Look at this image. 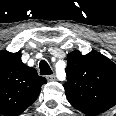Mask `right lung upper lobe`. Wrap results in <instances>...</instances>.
I'll use <instances>...</instances> for the list:
<instances>
[{"label":"right lung upper lobe","instance_id":"obj_1","mask_svg":"<svg viewBox=\"0 0 116 116\" xmlns=\"http://www.w3.org/2000/svg\"><path fill=\"white\" fill-rule=\"evenodd\" d=\"M47 80L21 61V51L0 52V114L18 116L37 99Z\"/></svg>","mask_w":116,"mask_h":116}]
</instances>
